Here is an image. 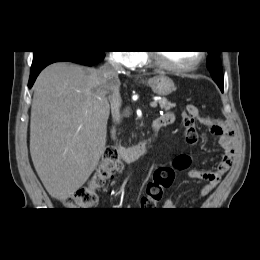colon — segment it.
<instances>
[{
	"mask_svg": "<svg viewBox=\"0 0 260 260\" xmlns=\"http://www.w3.org/2000/svg\"><path fill=\"white\" fill-rule=\"evenodd\" d=\"M198 113V108L192 104L186 105L183 112L184 137L189 144H195L199 139V134L195 127V118ZM190 164V156L180 154L174 158L170 165L158 167L147 184L146 200L157 204L162 199L165 190L172 186L175 173L188 168ZM119 167L118 154L113 148H107L89 183L78 189L73 195L67 197L64 201L65 204L71 208L91 207L96 201V191L107 186Z\"/></svg>",
	"mask_w": 260,
	"mask_h": 260,
	"instance_id": "obj_1",
	"label": "colon"
}]
</instances>
